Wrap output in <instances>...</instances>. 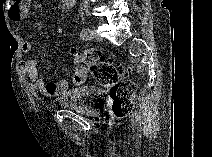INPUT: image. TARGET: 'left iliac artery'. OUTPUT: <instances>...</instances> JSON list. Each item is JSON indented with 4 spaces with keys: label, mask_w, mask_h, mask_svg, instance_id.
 Wrapping results in <instances>:
<instances>
[{
    "label": "left iliac artery",
    "mask_w": 212,
    "mask_h": 157,
    "mask_svg": "<svg viewBox=\"0 0 212 157\" xmlns=\"http://www.w3.org/2000/svg\"><path fill=\"white\" fill-rule=\"evenodd\" d=\"M80 38L81 39H92V31L90 29H83L80 33Z\"/></svg>",
    "instance_id": "left-iliac-artery-1"
}]
</instances>
